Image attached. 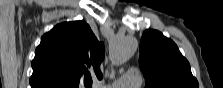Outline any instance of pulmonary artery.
<instances>
[{"label":"pulmonary artery","instance_id":"e3ab8cb5","mask_svg":"<svg viewBox=\"0 0 223 88\" xmlns=\"http://www.w3.org/2000/svg\"><path fill=\"white\" fill-rule=\"evenodd\" d=\"M142 84V75L136 68L129 69L122 77L103 88H134Z\"/></svg>","mask_w":223,"mask_h":88}]
</instances>
